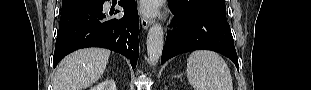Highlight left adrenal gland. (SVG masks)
Listing matches in <instances>:
<instances>
[{
    "mask_svg": "<svg viewBox=\"0 0 311 90\" xmlns=\"http://www.w3.org/2000/svg\"><path fill=\"white\" fill-rule=\"evenodd\" d=\"M182 74L178 75V76H175V78H181Z\"/></svg>",
    "mask_w": 311,
    "mask_h": 90,
    "instance_id": "left-adrenal-gland-1",
    "label": "left adrenal gland"
}]
</instances>
